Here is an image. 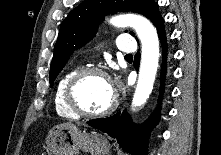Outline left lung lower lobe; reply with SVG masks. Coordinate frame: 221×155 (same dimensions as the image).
I'll use <instances>...</instances> for the list:
<instances>
[{
	"instance_id": "1",
	"label": "left lung lower lobe",
	"mask_w": 221,
	"mask_h": 155,
	"mask_svg": "<svg viewBox=\"0 0 221 155\" xmlns=\"http://www.w3.org/2000/svg\"><path fill=\"white\" fill-rule=\"evenodd\" d=\"M156 26L160 41L162 43L163 64L161 73V92L163 91L164 77L166 72V37L163 26V19L156 6L148 17ZM140 53L135 55L134 66L139 67ZM159 108L143 123L136 125L132 123L129 115L124 111L107 118L93 119L87 122L88 125L99 129L118 140L119 145L132 155H147L149 133L159 121Z\"/></svg>"
}]
</instances>
